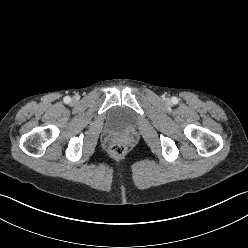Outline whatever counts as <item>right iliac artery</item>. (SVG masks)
<instances>
[{"instance_id":"right-iliac-artery-1","label":"right iliac artery","mask_w":248,"mask_h":248,"mask_svg":"<svg viewBox=\"0 0 248 248\" xmlns=\"http://www.w3.org/2000/svg\"><path fill=\"white\" fill-rule=\"evenodd\" d=\"M71 101V98L69 96L64 97V102L69 103Z\"/></svg>"}]
</instances>
